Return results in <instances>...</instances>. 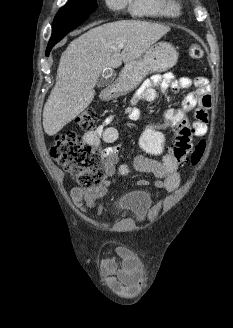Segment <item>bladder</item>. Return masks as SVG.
I'll use <instances>...</instances> for the list:
<instances>
[{"label": "bladder", "mask_w": 233, "mask_h": 328, "mask_svg": "<svg viewBox=\"0 0 233 328\" xmlns=\"http://www.w3.org/2000/svg\"><path fill=\"white\" fill-rule=\"evenodd\" d=\"M152 203L151 195L148 192L136 191L122 198L121 209L131 212L136 217L144 216Z\"/></svg>", "instance_id": "obj_1"}]
</instances>
